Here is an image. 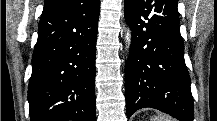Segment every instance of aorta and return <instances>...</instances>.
<instances>
[{
  "mask_svg": "<svg viewBox=\"0 0 217 121\" xmlns=\"http://www.w3.org/2000/svg\"><path fill=\"white\" fill-rule=\"evenodd\" d=\"M130 39H131V34H130V31L128 30L126 34V40L128 42V45L130 44V41H131Z\"/></svg>",
  "mask_w": 217,
  "mask_h": 121,
  "instance_id": "762f6f07",
  "label": "aorta"
}]
</instances>
